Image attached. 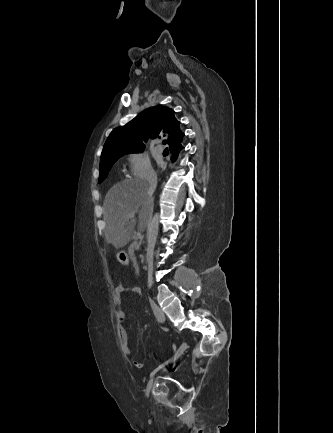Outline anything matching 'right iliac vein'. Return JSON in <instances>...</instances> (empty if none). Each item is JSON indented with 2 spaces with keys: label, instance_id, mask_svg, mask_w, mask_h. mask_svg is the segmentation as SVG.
Wrapping results in <instances>:
<instances>
[{
  "label": "right iliac vein",
  "instance_id": "obj_1",
  "mask_svg": "<svg viewBox=\"0 0 333 433\" xmlns=\"http://www.w3.org/2000/svg\"><path fill=\"white\" fill-rule=\"evenodd\" d=\"M182 348H184L185 350H186V348H187V344L185 343V342H183L182 343V345L180 346V348L178 349V351L176 352V355H175V358L173 359V362H175L176 361V359H178L180 356H181V354L185 351H181L182 350ZM153 381H154V377L148 382V384H147V388H149L150 390H151V388H152V385H153Z\"/></svg>",
  "mask_w": 333,
  "mask_h": 433
}]
</instances>
